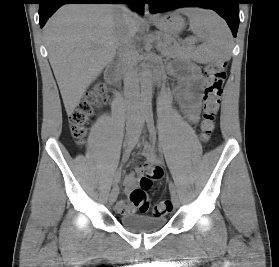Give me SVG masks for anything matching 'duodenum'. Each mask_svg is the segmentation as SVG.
<instances>
[{"label": "duodenum", "mask_w": 279, "mask_h": 267, "mask_svg": "<svg viewBox=\"0 0 279 267\" xmlns=\"http://www.w3.org/2000/svg\"><path fill=\"white\" fill-rule=\"evenodd\" d=\"M108 80L114 84H119L121 81L119 68L116 65H112L108 71Z\"/></svg>", "instance_id": "1"}]
</instances>
